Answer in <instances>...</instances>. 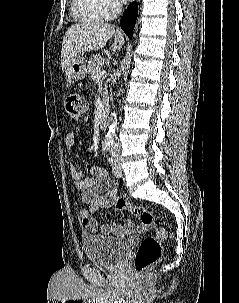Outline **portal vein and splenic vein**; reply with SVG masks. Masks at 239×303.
<instances>
[{
	"label": "portal vein and splenic vein",
	"instance_id": "portal-vein-and-splenic-vein-1",
	"mask_svg": "<svg viewBox=\"0 0 239 303\" xmlns=\"http://www.w3.org/2000/svg\"><path fill=\"white\" fill-rule=\"evenodd\" d=\"M104 77H106V71L100 69V70L97 72V78H98V80H99V79H102V78H104Z\"/></svg>",
	"mask_w": 239,
	"mask_h": 303
}]
</instances>
